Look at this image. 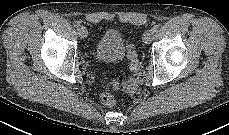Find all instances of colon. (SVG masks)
I'll list each match as a JSON object with an SVG mask.
<instances>
[{
  "label": "colon",
  "mask_w": 229,
  "mask_h": 135,
  "mask_svg": "<svg viewBox=\"0 0 229 135\" xmlns=\"http://www.w3.org/2000/svg\"><path fill=\"white\" fill-rule=\"evenodd\" d=\"M128 60L130 69L135 71L138 67V59L134 47L131 44L128 45ZM99 100L103 105L108 107H113L116 104L114 96L108 91L101 93Z\"/></svg>",
  "instance_id": "colon-1"
}]
</instances>
